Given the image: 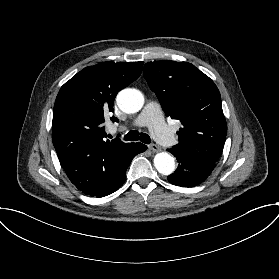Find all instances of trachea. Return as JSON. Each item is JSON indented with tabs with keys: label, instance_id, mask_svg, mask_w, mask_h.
I'll list each match as a JSON object with an SVG mask.
<instances>
[{
	"label": "trachea",
	"instance_id": "3493384b",
	"mask_svg": "<svg viewBox=\"0 0 279 279\" xmlns=\"http://www.w3.org/2000/svg\"><path fill=\"white\" fill-rule=\"evenodd\" d=\"M124 140H132V141L140 140L145 144H149L151 142L149 135H147L146 133H139L138 131H134V130L127 133L124 136Z\"/></svg>",
	"mask_w": 279,
	"mask_h": 279
}]
</instances>
